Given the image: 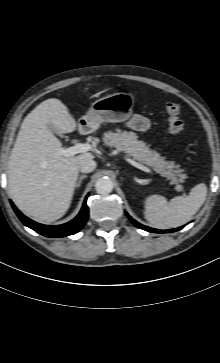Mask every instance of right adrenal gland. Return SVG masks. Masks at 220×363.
I'll use <instances>...</instances> for the list:
<instances>
[{
	"mask_svg": "<svg viewBox=\"0 0 220 363\" xmlns=\"http://www.w3.org/2000/svg\"><path fill=\"white\" fill-rule=\"evenodd\" d=\"M86 177H87V175H81V176L78 178V180H77V182H76L75 187H76V188L80 187L82 180H83V179H85Z\"/></svg>",
	"mask_w": 220,
	"mask_h": 363,
	"instance_id": "2a0ac1e0",
	"label": "right adrenal gland"
}]
</instances>
